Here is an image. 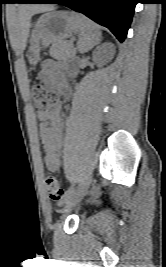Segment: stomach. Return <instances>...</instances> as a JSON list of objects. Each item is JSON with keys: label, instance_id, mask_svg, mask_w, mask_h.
I'll return each instance as SVG.
<instances>
[{"label": "stomach", "instance_id": "0dacf381", "mask_svg": "<svg viewBox=\"0 0 166 267\" xmlns=\"http://www.w3.org/2000/svg\"><path fill=\"white\" fill-rule=\"evenodd\" d=\"M80 21L77 14L67 11H50L43 14L37 21L30 48L29 62L36 65L40 60V45L47 46L52 42L64 40L79 29Z\"/></svg>", "mask_w": 166, "mask_h": 267}]
</instances>
